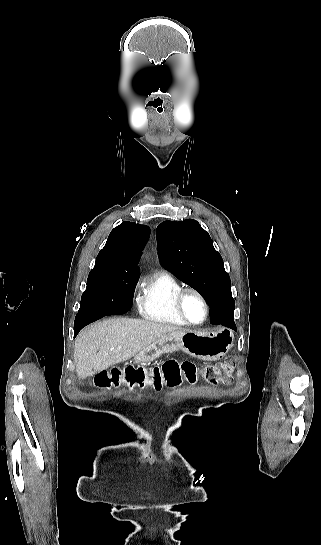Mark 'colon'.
Returning <instances> with one entry per match:
<instances>
[{"label": "colon", "instance_id": "1", "mask_svg": "<svg viewBox=\"0 0 321 545\" xmlns=\"http://www.w3.org/2000/svg\"><path fill=\"white\" fill-rule=\"evenodd\" d=\"M233 365V359L202 366L191 360L170 359L154 367L128 366L102 371L95 376L94 384L105 389L127 385L131 388L152 386L159 390L163 386L175 388L184 381L195 384L199 377L212 385L229 384L233 378Z\"/></svg>", "mask_w": 321, "mask_h": 545}]
</instances>
